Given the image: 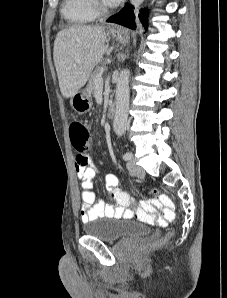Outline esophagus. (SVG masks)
Wrapping results in <instances>:
<instances>
[{
	"label": "esophagus",
	"mask_w": 227,
	"mask_h": 298,
	"mask_svg": "<svg viewBox=\"0 0 227 298\" xmlns=\"http://www.w3.org/2000/svg\"><path fill=\"white\" fill-rule=\"evenodd\" d=\"M112 30H113V31H115V30H116V28H115V27H112Z\"/></svg>",
	"instance_id": "esophagus-1"
}]
</instances>
